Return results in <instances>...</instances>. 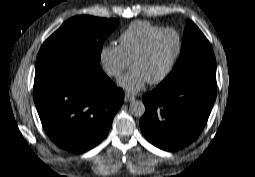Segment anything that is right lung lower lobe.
Here are the masks:
<instances>
[{
    "mask_svg": "<svg viewBox=\"0 0 255 177\" xmlns=\"http://www.w3.org/2000/svg\"><path fill=\"white\" fill-rule=\"evenodd\" d=\"M33 97L50 139L75 153L87 151L103 140L124 101L122 89L103 71L65 66L36 71Z\"/></svg>",
    "mask_w": 255,
    "mask_h": 177,
    "instance_id": "right-lung-lower-lobe-1",
    "label": "right lung lower lobe"
}]
</instances>
